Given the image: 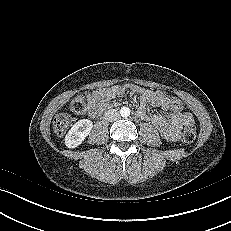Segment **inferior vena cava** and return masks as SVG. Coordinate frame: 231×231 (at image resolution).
<instances>
[{"label":"inferior vena cava","mask_w":231,"mask_h":231,"mask_svg":"<svg viewBox=\"0 0 231 231\" xmlns=\"http://www.w3.org/2000/svg\"><path fill=\"white\" fill-rule=\"evenodd\" d=\"M119 118L120 114L119 111H117L116 109H109L104 112V119L106 121L112 122L118 120Z\"/></svg>","instance_id":"1"}]
</instances>
